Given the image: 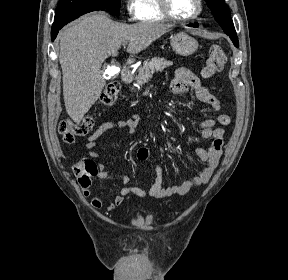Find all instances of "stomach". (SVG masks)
<instances>
[{"label":"stomach","instance_id":"1","mask_svg":"<svg viewBox=\"0 0 288 280\" xmlns=\"http://www.w3.org/2000/svg\"><path fill=\"white\" fill-rule=\"evenodd\" d=\"M173 50L181 56L192 55L198 49V42L185 32H180L171 37Z\"/></svg>","mask_w":288,"mask_h":280}]
</instances>
